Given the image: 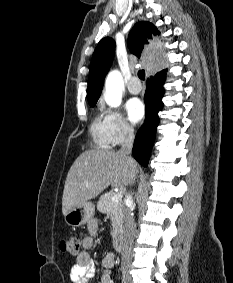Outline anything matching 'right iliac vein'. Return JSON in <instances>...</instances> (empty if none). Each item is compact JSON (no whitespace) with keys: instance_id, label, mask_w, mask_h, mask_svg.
Here are the masks:
<instances>
[{"instance_id":"1","label":"right iliac vein","mask_w":233,"mask_h":283,"mask_svg":"<svg viewBox=\"0 0 233 283\" xmlns=\"http://www.w3.org/2000/svg\"><path fill=\"white\" fill-rule=\"evenodd\" d=\"M125 279L128 283L130 282V278L128 276H126Z\"/></svg>"}]
</instances>
